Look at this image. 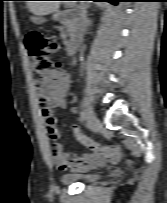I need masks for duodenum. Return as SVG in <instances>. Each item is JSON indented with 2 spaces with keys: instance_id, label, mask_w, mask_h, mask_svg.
<instances>
[{
  "instance_id": "410a0bca",
  "label": "duodenum",
  "mask_w": 167,
  "mask_h": 203,
  "mask_svg": "<svg viewBox=\"0 0 167 203\" xmlns=\"http://www.w3.org/2000/svg\"><path fill=\"white\" fill-rule=\"evenodd\" d=\"M54 20L72 23L77 21V17L73 15L72 11H65V12L58 11L54 16ZM77 39L78 37L76 34L68 38L66 42V51L68 56H72L75 53Z\"/></svg>"
}]
</instances>
